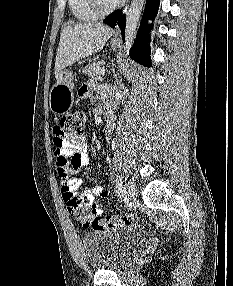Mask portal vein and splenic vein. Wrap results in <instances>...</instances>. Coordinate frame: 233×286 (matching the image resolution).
<instances>
[{
  "label": "portal vein and splenic vein",
  "mask_w": 233,
  "mask_h": 286,
  "mask_svg": "<svg viewBox=\"0 0 233 286\" xmlns=\"http://www.w3.org/2000/svg\"><path fill=\"white\" fill-rule=\"evenodd\" d=\"M101 73H102V74H105V70L103 69V70L101 71Z\"/></svg>",
  "instance_id": "1"
}]
</instances>
